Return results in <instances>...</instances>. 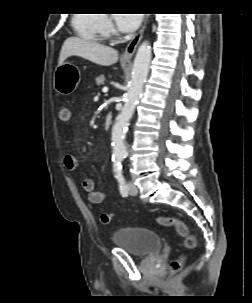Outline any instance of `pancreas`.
<instances>
[{"mask_svg":"<svg viewBox=\"0 0 252 303\" xmlns=\"http://www.w3.org/2000/svg\"><path fill=\"white\" fill-rule=\"evenodd\" d=\"M104 81H105V76L104 75H100V76L95 78V82L98 86L103 85Z\"/></svg>","mask_w":252,"mask_h":303,"instance_id":"1","label":"pancreas"}]
</instances>
